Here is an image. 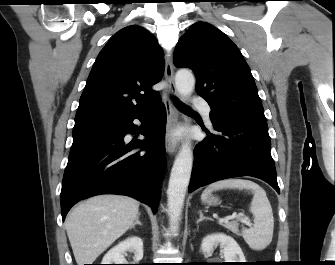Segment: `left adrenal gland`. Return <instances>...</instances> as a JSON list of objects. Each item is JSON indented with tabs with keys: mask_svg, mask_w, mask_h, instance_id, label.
<instances>
[{
	"mask_svg": "<svg viewBox=\"0 0 335 265\" xmlns=\"http://www.w3.org/2000/svg\"><path fill=\"white\" fill-rule=\"evenodd\" d=\"M199 215H200V218L197 220V223H199V222H201L202 220H205V219L212 220L211 218L205 217L202 210H199Z\"/></svg>",
	"mask_w": 335,
	"mask_h": 265,
	"instance_id": "left-adrenal-gland-1",
	"label": "left adrenal gland"
}]
</instances>
